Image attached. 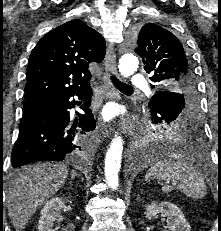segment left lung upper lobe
Returning a JSON list of instances; mask_svg holds the SVG:
<instances>
[{
  "label": "left lung upper lobe",
  "mask_w": 221,
  "mask_h": 231,
  "mask_svg": "<svg viewBox=\"0 0 221 231\" xmlns=\"http://www.w3.org/2000/svg\"><path fill=\"white\" fill-rule=\"evenodd\" d=\"M135 52L142 58L144 69L151 75V87L173 93L174 105H158L149 102L155 120L168 111L177 117L185 103L193 105L197 100L195 74L191 57L183 43L167 29L148 23L135 33Z\"/></svg>",
  "instance_id": "obj_1"
}]
</instances>
